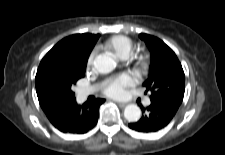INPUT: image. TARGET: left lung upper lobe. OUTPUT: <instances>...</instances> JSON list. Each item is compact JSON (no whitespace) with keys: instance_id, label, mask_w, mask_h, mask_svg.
Segmentation results:
<instances>
[{"instance_id":"5c2ea615","label":"left lung upper lobe","mask_w":225,"mask_h":155,"mask_svg":"<svg viewBox=\"0 0 225 155\" xmlns=\"http://www.w3.org/2000/svg\"><path fill=\"white\" fill-rule=\"evenodd\" d=\"M151 52L149 78L144 82L151 101H172L181 104L185 91V75L175 53L160 39L140 34Z\"/></svg>"}]
</instances>
